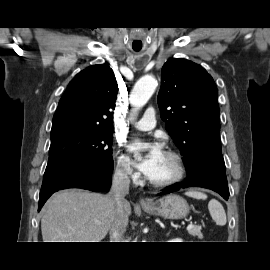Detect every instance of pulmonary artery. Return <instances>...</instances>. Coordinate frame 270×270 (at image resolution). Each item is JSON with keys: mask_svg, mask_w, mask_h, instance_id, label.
I'll use <instances>...</instances> for the list:
<instances>
[{"mask_svg": "<svg viewBox=\"0 0 270 270\" xmlns=\"http://www.w3.org/2000/svg\"><path fill=\"white\" fill-rule=\"evenodd\" d=\"M134 126L142 131H148L153 129L156 126L155 120V109L148 108L146 109L144 116L134 123Z\"/></svg>", "mask_w": 270, "mask_h": 270, "instance_id": "pulmonary-artery-1", "label": "pulmonary artery"}]
</instances>
